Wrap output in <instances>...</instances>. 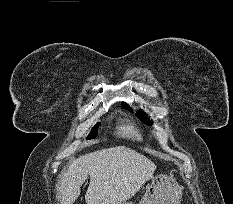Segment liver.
I'll use <instances>...</instances> for the list:
<instances>
[{
	"instance_id": "obj_1",
	"label": "liver",
	"mask_w": 233,
	"mask_h": 204,
	"mask_svg": "<svg viewBox=\"0 0 233 204\" xmlns=\"http://www.w3.org/2000/svg\"><path fill=\"white\" fill-rule=\"evenodd\" d=\"M156 165L126 146H115L80 156L62 174L57 197L60 204H73L90 176L87 204H120L133 197L152 178Z\"/></svg>"
}]
</instances>
